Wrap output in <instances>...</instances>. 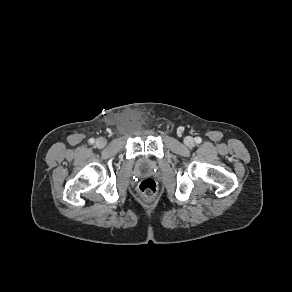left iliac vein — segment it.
Returning <instances> with one entry per match:
<instances>
[{
    "mask_svg": "<svg viewBox=\"0 0 292 292\" xmlns=\"http://www.w3.org/2000/svg\"><path fill=\"white\" fill-rule=\"evenodd\" d=\"M194 143H195L194 138H192V137H190V136H187V137L184 138V144H185L186 146L191 147V146L194 145Z\"/></svg>",
    "mask_w": 292,
    "mask_h": 292,
    "instance_id": "1",
    "label": "left iliac vein"
}]
</instances>
